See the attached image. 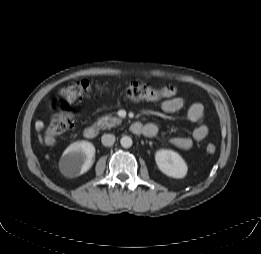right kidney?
<instances>
[{
    "mask_svg": "<svg viewBox=\"0 0 261 254\" xmlns=\"http://www.w3.org/2000/svg\"><path fill=\"white\" fill-rule=\"evenodd\" d=\"M95 147L87 141L70 144L64 151L60 165L62 172L68 177H76L87 172L93 165Z\"/></svg>",
    "mask_w": 261,
    "mask_h": 254,
    "instance_id": "obj_1",
    "label": "right kidney"
}]
</instances>
